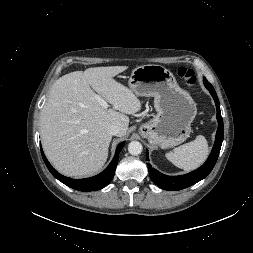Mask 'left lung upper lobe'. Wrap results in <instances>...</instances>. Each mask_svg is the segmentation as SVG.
Instances as JSON below:
<instances>
[{"label": "left lung upper lobe", "mask_w": 253, "mask_h": 253, "mask_svg": "<svg viewBox=\"0 0 253 253\" xmlns=\"http://www.w3.org/2000/svg\"><path fill=\"white\" fill-rule=\"evenodd\" d=\"M205 80L207 81V79H206V78H204V79H203V81H205Z\"/></svg>", "instance_id": "5c2ea615"}]
</instances>
